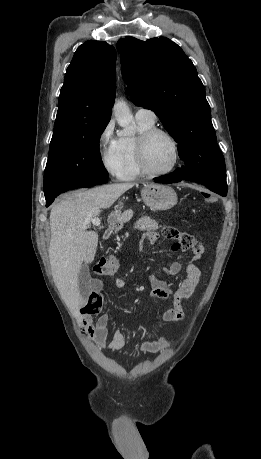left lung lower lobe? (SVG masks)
Returning <instances> with one entry per match:
<instances>
[{"instance_id": "left-lung-lower-lobe-1", "label": "left lung lower lobe", "mask_w": 261, "mask_h": 459, "mask_svg": "<svg viewBox=\"0 0 261 459\" xmlns=\"http://www.w3.org/2000/svg\"><path fill=\"white\" fill-rule=\"evenodd\" d=\"M181 180H189L205 185L211 191L218 193L221 196L227 195L226 172L208 171L195 174L193 176H185L182 172L176 169L173 173L158 177L157 183H176Z\"/></svg>"}]
</instances>
